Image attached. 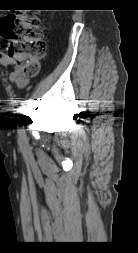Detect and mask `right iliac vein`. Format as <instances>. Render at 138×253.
Masks as SVG:
<instances>
[{"mask_svg": "<svg viewBox=\"0 0 138 253\" xmlns=\"http://www.w3.org/2000/svg\"><path fill=\"white\" fill-rule=\"evenodd\" d=\"M24 129H27V125H24Z\"/></svg>", "mask_w": 138, "mask_h": 253, "instance_id": "63e3f726", "label": "right iliac vein"}]
</instances>
